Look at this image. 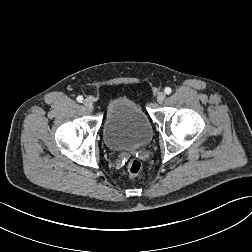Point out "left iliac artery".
I'll use <instances>...</instances> for the list:
<instances>
[{
  "instance_id": "left-iliac-artery-1",
  "label": "left iliac artery",
  "mask_w": 252,
  "mask_h": 252,
  "mask_svg": "<svg viewBox=\"0 0 252 252\" xmlns=\"http://www.w3.org/2000/svg\"><path fill=\"white\" fill-rule=\"evenodd\" d=\"M164 91L166 94H170L172 92V89L170 87H166Z\"/></svg>"
}]
</instances>
